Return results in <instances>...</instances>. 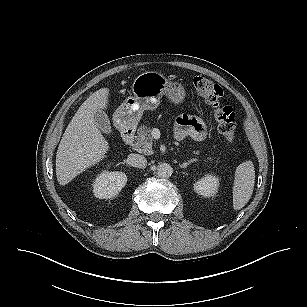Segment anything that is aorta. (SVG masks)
Listing matches in <instances>:
<instances>
[{
    "label": "aorta",
    "instance_id": "1",
    "mask_svg": "<svg viewBox=\"0 0 307 307\" xmlns=\"http://www.w3.org/2000/svg\"><path fill=\"white\" fill-rule=\"evenodd\" d=\"M173 173L172 167L167 163H162L157 167V174L160 178H169Z\"/></svg>",
    "mask_w": 307,
    "mask_h": 307
}]
</instances>
